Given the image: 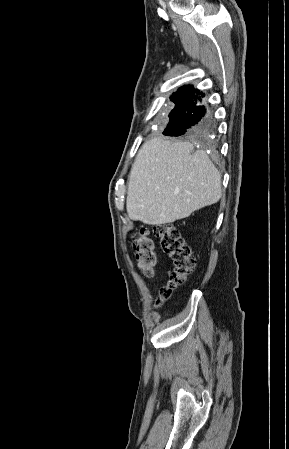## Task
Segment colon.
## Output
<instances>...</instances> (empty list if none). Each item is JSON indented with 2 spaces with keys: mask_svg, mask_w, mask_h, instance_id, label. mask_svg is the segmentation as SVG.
I'll return each instance as SVG.
<instances>
[{
  "mask_svg": "<svg viewBox=\"0 0 289 449\" xmlns=\"http://www.w3.org/2000/svg\"><path fill=\"white\" fill-rule=\"evenodd\" d=\"M155 234L165 254L172 262L168 283L161 288L156 305L161 306L172 292L184 284L195 267L191 249L182 238L179 229L173 224L155 227ZM134 249L138 267L146 277H152L157 265L155 243L147 229L142 228L134 235Z\"/></svg>",
  "mask_w": 289,
  "mask_h": 449,
  "instance_id": "colon-1",
  "label": "colon"
}]
</instances>
